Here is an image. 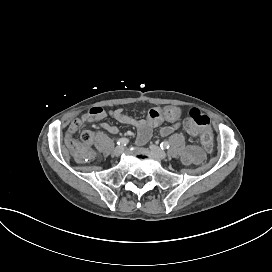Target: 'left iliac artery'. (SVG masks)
Instances as JSON below:
<instances>
[{
  "instance_id": "1",
  "label": "left iliac artery",
  "mask_w": 272,
  "mask_h": 272,
  "mask_svg": "<svg viewBox=\"0 0 272 272\" xmlns=\"http://www.w3.org/2000/svg\"><path fill=\"white\" fill-rule=\"evenodd\" d=\"M161 149H168L170 147L169 143L167 141H163L160 143Z\"/></svg>"
}]
</instances>
